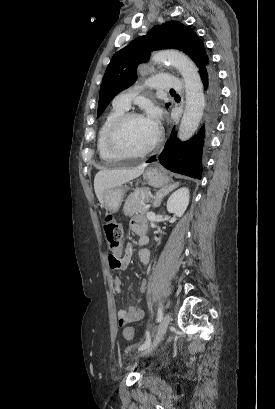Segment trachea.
Instances as JSON below:
<instances>
[{
  "mask_svg": "<svg viewBox=\"0 0 275 409\" xmlns=\"http://www.w3.org/2000/svg\"><path fill=\"white\" fill-rule=\"evenodd\" d=\"M170 92H175V90L173 88L170 89Z\"/></svg>",
  "mask_w": 275,
  "mask_h": 409,
  "instance_id": "3493384b",
  "label": "trachea"
}]
</instances>
